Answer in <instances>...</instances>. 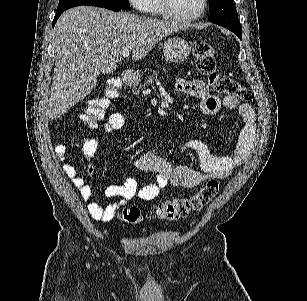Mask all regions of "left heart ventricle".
I'll use <instances>...</instances> for the list:
<instances>
[{
  "instance_id": "obj_1",
  "label": "left heart ventricle",
  "mask_w": 307,
  "mask_h": 301,
  "mask_svg": "<svg viewBox=\"0 0 307 301\" xmlns=\"http://www.w3.org/2000/svg\"><path fill=\"white\" fill-rule=\"evenodd\" d=\"M171 2V1H170ZM200 0H172L171 13H189L198 11Z\"/></svg>"
}]
</instances>
